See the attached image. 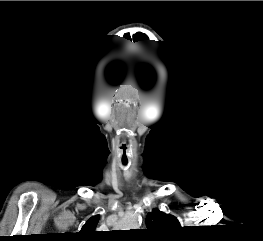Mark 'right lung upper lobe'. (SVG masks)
I'll return each instance as SVG.
<instances>
[{
    "label": "right lung upper lobe",
    "instance_id": "cb5924a9",
    "mask_svg": "<svg viewBox=\"0 0 263 241\" xmlns=\"http://www.w3.org/2000/svg\"><path fill=\"white\" fill-rule=\"evenodd\" d=\"M100 215L92 216L82 227L78 233V239L81 241H95L98 239V234L95 231L99 222Z\"/></svg>",
    "mask_w": 263,
    "mask_h": 241
}]
</instances>
